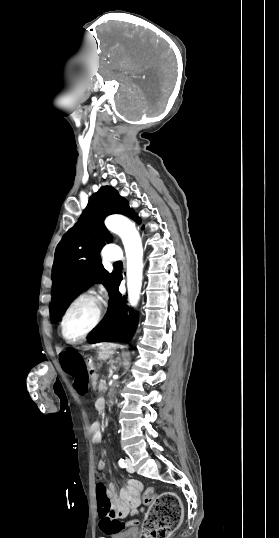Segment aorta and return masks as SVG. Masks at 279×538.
I'll return each instance as SVG.
<instances>
[{
  "mask_svg": "<svg viewBox=\"0 0 279 538\" xmlns=\"http://www.w3.org/2000/svg\"><path fill=\"white\" fill-rule=\"evenodd\" d=\"M105 225L109 231L118 234L123 241L127 258L129 303L135 307L140 298L143 274V248L140 235L135 225L124 216H109L105 220Z\"/></svg>",
  "mask_w": 279,
  "mask_h": 538,
  "instance_id": "aorta-1",
  "label": "aorta"
}]
</instances>
